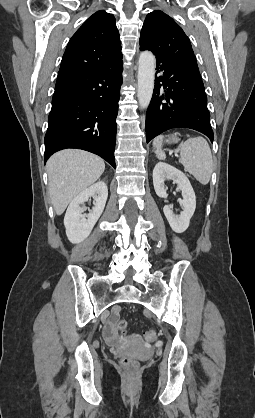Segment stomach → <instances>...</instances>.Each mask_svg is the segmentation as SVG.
<instances>
[{"label":"stomach","mask_w":255,"mask_h":418,"mask_svg":"<svg viewBox=\"0 0 255 418\" xmlns=\"http://www.w3.org/2000/svg\"><path fill=\"white\" fill-rule=\"evenodd\" d=\"M170 141L171 142H177L178 141V138L176 137V134L171 137Z\"/></svg>","instance_id":"stomach-1"}]
</instances>
